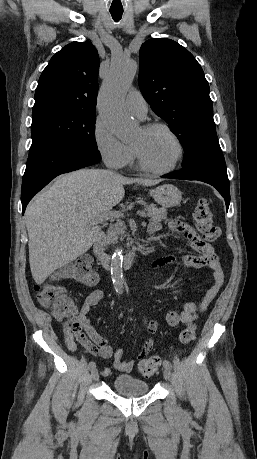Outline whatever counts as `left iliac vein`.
<instances>
[{"label":"left iliac vein","instance_id":"obj_1","mask_svg":"<svg viewBox=\"0 0 257 459\" xmlns=\"http://www.w3.org/2000/svg\"><path fill=\"white\" fill-rule=\"evenodd\" d=\"M163 375H164V378H165L166 380L169 381L170 378H171V371H170V369L164 367Z\"/></svg>","mask_w":257,"mask_h":459}]
</instances>
